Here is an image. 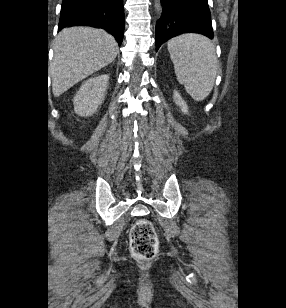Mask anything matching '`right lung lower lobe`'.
Segmentation results:
<instances>
[{
    "label": "right lung lower lobe",
    "instance_id": "right-lung-lower-lobe-1",
    "mask_svg": "<svg viewBox=\"0 0 286 308\" xmlns=\"http://www.w3.org/2000/svg\"><path fill=\"white\" fill-rule=\"evenodd\" d=\"M71 26L105 29L121 45L125 27L123 0H63L58 30Z\"/></svg>",
    "mask_w": 286,
    "mask_h": 308
}]
</instances>
